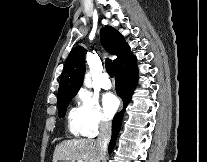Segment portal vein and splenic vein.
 Masks as SVG:
<instances>
[{"instance_id": "18ae733b", "label": "portal vein and splenic vein", "mask_w": 207, "mask_h": 162, "mask_svg": "<svg viewBox=\"0 0 207 162\" xmlns=\"http://www.w3.org/2000/svg\"><path fill=\"white\" fill-rule=\"evenodd\" d=\"M77 162H83V161L79 160V161H77Z\"/></svg>"}]
</instances>
